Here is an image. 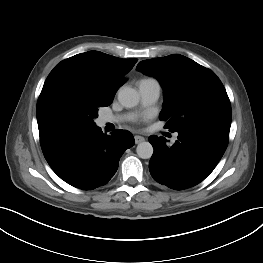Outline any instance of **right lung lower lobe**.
I'll list each match as a JSON object with an SVG mask.
<instances>
[{
    "label": "right lung lower lobe",
    "instance_id": "obj_1",
    "mask_svg": "<svg viewBox=\"0 0 263 263\" xmlns=\"http://www.w3.org/2000/svg\"><path fill=\"white\" fill-rule=\"evenodd\" d=\"M134 143L129 131L117 129L108 136L97 126L40 136L44 157L53 171L83 190L107 184L116 173L122 154Z\"/></svg>",
    "mask_w": 263,
    "mask_h": 263
}]
</instances>
